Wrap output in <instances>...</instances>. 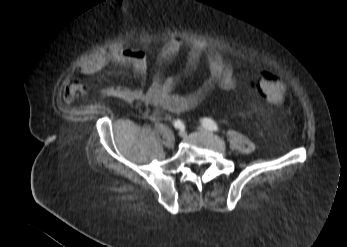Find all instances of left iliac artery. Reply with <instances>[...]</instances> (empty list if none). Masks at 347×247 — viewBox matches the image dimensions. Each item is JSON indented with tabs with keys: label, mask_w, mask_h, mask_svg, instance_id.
<instances>
[{
	"label": "left iliac artery",
	"mask_w": 347,
	"mask_h": 247,
	"mask_svg": "<svg viewBox=\"0 0 347 247\" xmlns=\"http://www.w3.org/2000/svg\"><path fill=\"white\" fill-rule=\"evenodd\" d=\"M202 124L205 128H207L211 131H218L219 130L218 125L210 118H204L202 120Z\"/></svg>",
	"instance_id": "obj_1"
}]
</instances>
